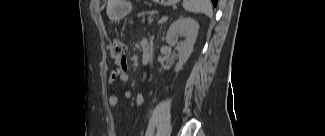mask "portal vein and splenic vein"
Wrapping results in <instances>:
<instances>
[{"label": "portal vein and splenic vein", "mask_w": 325, "mask_h": 136, "mask_svg": "<svg viewBox=\"0 0 325 136\" xmlns=\"http://www.w3.org/2000/svg\"><path fill=\"white\" fill-rule=\"evenodd\" d=\"M167 19H168L167 16H163V17L160 19L159 23L165 22V21H167Z\"/></svg>", "instance_id": "portal-vein-and-splenic-vein-1"}]
</instances>
